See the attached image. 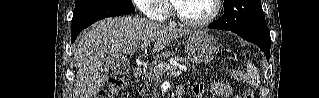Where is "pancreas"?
Returning <instances> with one entry per match:
<instances>
[{
	"mask_svg": "<svg viewBox=\"0 0 319 98\" xmlns=\"http://www.w3.org/2000/svg\"><path fill=\"white\" fill-rule=\"evenodd\" d=\"M171 57L175 60H177L178 62H180L182 65L187 66L188 69H192L194 68V66H192L187 59L181 58L180 56L176 55L173 52H163L161 54H158L155 58L154 61L152 63V66L150 67L149 72L146 74V88L147 91H149V87L151 86V82L154 80L155 76L157 75L155 73V68L157 66L158 63H160L163 59ZM162 74V72L159 73V75ZM146 94V89H142L140 92L141 96H145Z\"/></svg>",
	"mask_w": 319,
	"mask_h": 98,
	"instance_id": "obj_1",
	"label": "pancreas"
}]
</instances>
